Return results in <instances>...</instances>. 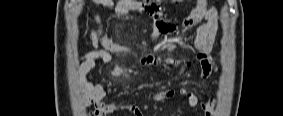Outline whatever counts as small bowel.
<instances>
[{"label": "small bowel", "instance_id": "small-bowel-1", "mask_svg": "<svg viewBox=\"0 0 283 116\" xmlns=\"http://www.w3.org/2000/svg\"><path fill=\"white\" fill-rule=\"evenodd\" d=\"M96 4H102L112 9L117 15L124 18H132L137 12V1L133 0H95ZM204 1H198L197 8L185 20L184 27L190 28L196 26V33L193 39L192 48L195 52V58L200 65L199 77L206 79L215 69L214 61L210 56L214 38L217 30V11L214 8L206 9ZM154 18L149 23L151 27V38L153 42L158 41L163 35L171 34L176 31L175 27L163 19L162 10L157 6H150L147 10ZM204 18L202 23L199 21ZM90 34L92 41V50L80 57L79 76L84 92L86 93L87 106L95 108L94 115L101 116L112 113L118 105L116 103H105L106 95L104 88L99 84H93L86 79V75L97 64H107L112 61V54H134L141 55L143 50L134 49L130 46L123 45L110 40L104 33L98 14L93 13L90 16ZM172 47V45H171ZM140 64L144 67H159L167 72L173 81H178L185 69L193 67V60L190 58H154L152 56H141ZM172 65H179V70L174 71ZM177 94L184 97L187 105L195 108L199 105L197 95L187 89L180 88L168 89L159 92H151L146 97L156 101L164 102L174 98ZM203 111L209 115L214 108V103H205L201 105ZM125 109L129 110L136 116H142L141 109L134 105H126Z\"/></svg>", "mask_w": 283, "mask_h": 116}]
</instances>
